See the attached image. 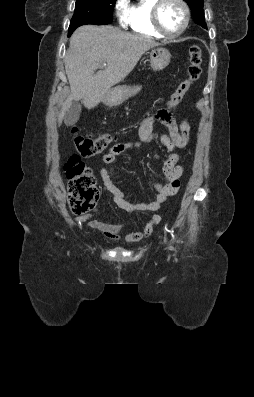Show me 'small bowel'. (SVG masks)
Returning <instances> with one entry per match:
<instances>
[{
	"label": "small bowel",
	"mask_w": 254,
	"mask_h": 397,
	"mask_svg": "<svg viewBox=\"0 0 254 397\" xmlns=\"http://www.w3.org/2000/svg\"><path fill=\"white\" fill-rule=\"evenodd\" d=\"M156 121L160 122L168 129V134H158L153 132V126ZM189 131L190 126L186 119L177 123L176 119L168 110L161 108L155 115H149L142 121L139 128L141 141L116 144L103 155L102 160L104 165L100 168V176L103 182L102 191L107 193L118 207L128 213V219H130L135 212L157 211L161 205L169 199V197L177 193L180 188V177L183 174L184 168L179 164V155L176 153V150L183 148L187 144ZM153 142H156L171 151L170 156L164 162L162 168L167 179V183L161 184L151 179L152 186L157 192L156 196L151 201L133 202L124 195L113 181L116 176L118 157L129 149L145 148L153 155L155 160H158L159 155L149 146V144ZM98 211L99 206H97L92 212L77 217L76 221H88V226L90 228L108 239H121L120 233L125 228L126 221L119 224H111L96 220L94 219V216ZM160 221V216L154 215L146 223L142 231L128 233L123 237V240L126 242H137L149 237Z\"/></svg>",
	"instance_id": "1"
}]
</instances>
